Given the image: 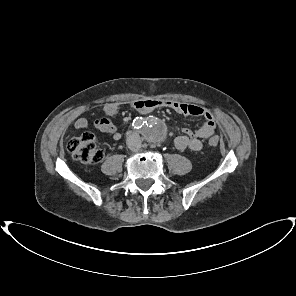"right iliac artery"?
<instances>
[{
    "mask_svg": "<svg viewBox=\"0 0 296 296\" xmlns=\"http://www.w3.org/2000/svg\"><path fill=\"white\" fill-rule=\"evenodd\" d=\"M144 120H142V118H136L133 120V124L132 126L135 128V129H139L141 128L143 125H144Z\"/></svg>",
    "mask_w": 296,
    "mask_h": 296,
    "instance_id": "right-iliac-artery-1",
    "label": "right iliac artery"
}]
</instances>
